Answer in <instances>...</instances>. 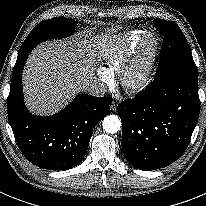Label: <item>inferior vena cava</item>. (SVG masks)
<instances>
[{"label": "inferior vena cava", "mask_w": 206, "mask_h": 206, "mask_svg": "<svg viewBox=\"0 0 206 206\" xmlns=\"http://www.w3.org/2000/svg\"><path fill=\"white\" fill-rule=\"evenodd\" d=\"M88 93L92 96H103L107 92V86L103 82L93 81L86 88Z\"/></svg>", "instance_id": "602c4592"}]
</instances>
